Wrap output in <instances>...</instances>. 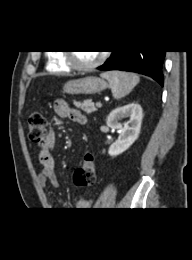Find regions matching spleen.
Returning <instances> with one entry per match:
<instances>
[{
	"instance_id": "obj_1",
	"label": "spleen",
	"mask_w": 192,
	"mask_h": 260,
	"mask_svg": "<svg viewBox=\"0 0 192 260\" xmlns=\"http://www.w3.org/2000/svg\"><path fill=\"white\" fill-rule=\"evenodd\" d=\"M106 79L115 99H121L128 95L139 83V76L123 71H108L101 74Z\"/></svg>"
}]
</instances>
